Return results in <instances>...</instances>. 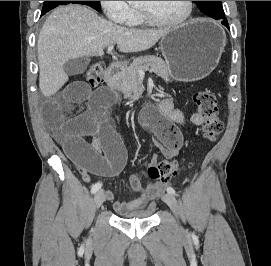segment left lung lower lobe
<instances>
[{
	"instance_id": "0a47b994",
	"label": "left lung lower lobe",
	"mask_w": 271,
	"mask_h": 266,
	"mask_svg": "<svg viewBox=\"0 0 271 266\" xmlns=\"http://www.w3.org/2000/svg\"><path fill=\"white\" fill-rule=\"evenodd\" d=\"M221 23L229 29V25L226 18L222 19Z\"/></svg>"
}]
</instances>
